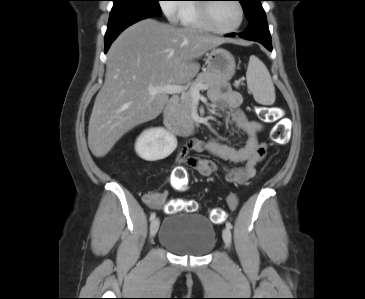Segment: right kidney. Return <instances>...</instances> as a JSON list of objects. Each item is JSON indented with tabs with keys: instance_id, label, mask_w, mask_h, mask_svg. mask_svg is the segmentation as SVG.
<instances>
[{
	"instance_id": "1",
	"label": "right kidney",
	"mask_w": 365,
	"mask_h": 299,
	"mask_svg": "<svg viewBox=\"0 0 365 299\" xmlns=\"http://www.w3.org/2000/svg\"><path fill=\"white\" fill-rule=\"evenodd\" d=\"M177 147L176 137L164 128L145 130L137 139L135 151L146 161L168 157Z\"/></svg>"
}]
</instances>
